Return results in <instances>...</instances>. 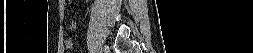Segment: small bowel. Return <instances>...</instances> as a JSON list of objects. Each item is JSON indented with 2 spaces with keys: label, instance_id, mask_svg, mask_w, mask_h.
Wrapping results in <instances>:
<instances>
[{
  "label": "small bowel",
  "instance_id": "small-bowel-1",
  "mask_svg": "<svg viewBox=\"0 0 253 53\" xmlns=\"http://www.w3.org/2000/svg\"><path fill=\"white\" fill-rule=\"evenodd\" d=\"M75 26H76V23H75L74 20H72V21L70 22L69 28H70V29H73V28H75ZM72 46H73V43H72L71 40H66V41L64 42V47H65L66 50H70V49L72 48Z\"/></svg>",
  "mask_w": 253,
  "mask_h": 53
}]
</instances>
